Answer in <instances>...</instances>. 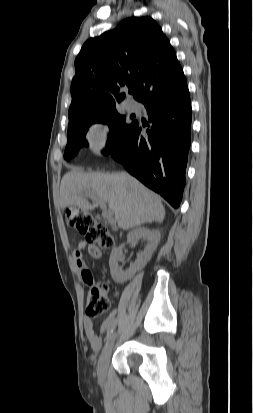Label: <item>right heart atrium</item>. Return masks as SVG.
I'll use <instances>...</instances> for the list:
<instances>
[{"label":"right heart atrium","instance_id":"obj_1","mask_svg":"<svg viewBox=\"0 0 253 413\" xmlns=\"http://www.w3.org/2000/svg\"><path fill=\"white\" fill-rule=\"evenodd\" d=\"M108 138L109 127L102 122L93 124L87 133V141L91 149L96 153H100L106 148Z\"/></svg>","mask_w":253,"mask_h":413}]
</instances>
